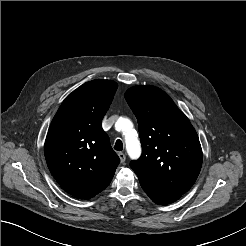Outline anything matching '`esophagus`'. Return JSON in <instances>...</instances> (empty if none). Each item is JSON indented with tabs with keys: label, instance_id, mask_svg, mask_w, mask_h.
<instances>
[{
	"label": "esophagus",
	"instance_id": "34e87169",
	"mask_svg": "<svg viewBox=\"0 0 246 246\" xmlns=\"http://www.w3.org/2000/svg\"><path fill=\"white\" fill-rule=\"evenodd\" d=\"M118 156L120 158L121 163H123L126 160V155L123 152H119Z\"/></svg>",
	"mask_w": 246,
	"mask_h": 246
}]
</instances>
